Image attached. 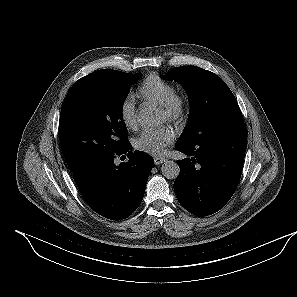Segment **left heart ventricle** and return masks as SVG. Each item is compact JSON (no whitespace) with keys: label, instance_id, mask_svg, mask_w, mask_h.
Wrapping results in <instances>:
<instances>
[{"label":"left heart ventricle","instance_id":"1","mask_svg":"<svg viewBox=\"0 0 297 297\" xmlns=\"http://www.w3.org/2000/svg\"><path fill=\"white\" fill-rule=\"evenodd\" d=\"M161 116H162V119L165 120L166 119V116L163 112H161Z\"/></svg>","mask_w":297,"mask_h":297}]
</instances>
